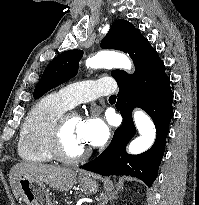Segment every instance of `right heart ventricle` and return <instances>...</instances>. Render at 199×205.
I'll return each instance as SVG.
<instances>
[{
	"label": "right heart ventricle",
	"mask_w": 199,
	"mask_h": 205,
	"mask_svg": "<svg viewBox=\"0 0 199 205\" xmlns=\"http://www.w3.org/2000/svg\"><path fill=\"white\" fill-rule=\"evenodd\" d=\"M68 108L59 93L49 94L34 105L20 133L18 153L23 160L34 164L54 161L47 149L48 136L55 121Z\"/></svg>",
	"instance_id": "e07e8e85"
}]
</instances>
